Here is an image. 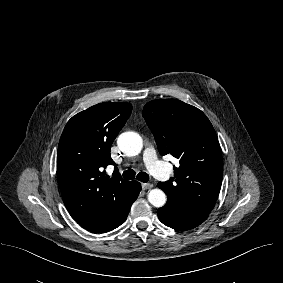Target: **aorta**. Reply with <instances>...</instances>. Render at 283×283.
I'll use <instances>...</instances> for the list:
<instances>
[{"mask_svg":"<svg viewBox=\"0 0 283 283\" xmlns=\"http://www.w3.org/2000/svg\"><path fill=\"white\" fill-rule=\"evenodd\" d=\"M119 149L128 156L138 155L143 147L141 137L135 132H124L117 140ZM166 195L161 189H152L148 194V201L154 207H162L166 203Z\"/></svg>","mask_w":283,"mask_h":283,"instance_id":"obj_1","label":"aorta"}]
</instances>
